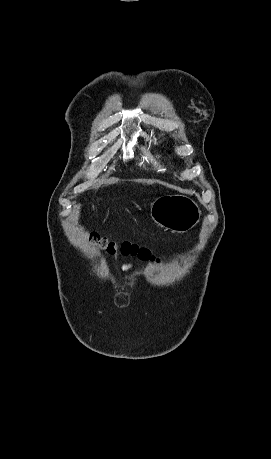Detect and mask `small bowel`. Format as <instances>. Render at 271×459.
<instances>
[{
	"label": "small bowel",
	"instance_id": "small-bowel-1",
	"mask_svg": "<svg viewBox=\"0 0 271 459\" xmlns=\"http://www.w3.org/2000/svg\"><path fill=\"white\" fill-rule=\"evenodd\" d=\"M132 267V264H124L122 265L123 270H129Z\"/></svg>",
	"mask_w": 271,
	"mask_h": 459
}]
</instances>
